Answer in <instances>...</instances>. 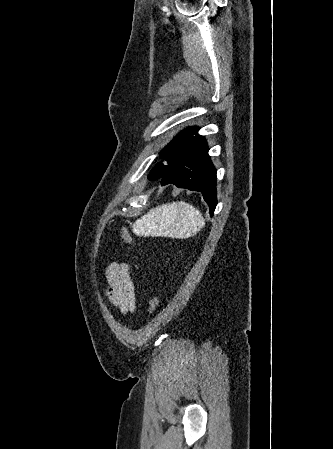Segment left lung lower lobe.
Segmentation results:
<instances>
[{"label":"left lung lower lobe","mask_w":333,"mask_h":449,"mask_svg":"<svg viewBox=\"0 0 333 449\" xmlns=\"http://www.w3.org/2000/svg\"><path fill=\"white\" fill-rule=\"evenodd\" d=\"M170 183L180 188L201 192L209 205L211 216L213 215L217 204L216 169L208 155V146L204 137L199 135L187 159L161 178V185Z\"/></svg>","instance_id":"1"}]
</instances>
